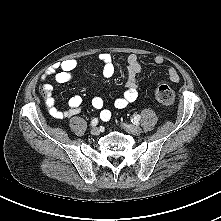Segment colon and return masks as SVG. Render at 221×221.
<instances>
[{
  "label": "colon",
  "mask_w": 221,
  "mask_h": 221,
  "mask_svg": "<svg viewBox=\"0 0 221 221\" xmlns=\"http://www.w3.org/2000/svg\"><path fill=\"white\" fill-rule=\"evenodd\" d=\"M157 101L163 105L171 106L175 101V93L168 85H160L155 90Z\"/></svg>",
  "instance_id": "1"
}]
</instances>
